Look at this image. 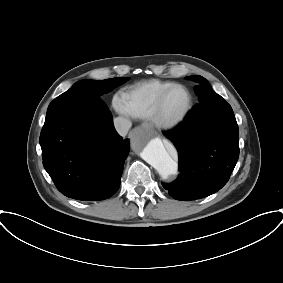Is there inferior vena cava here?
Returning <instances> with one entry per match:
<instances>
[{"label": "inferior vena cava", "mask_w": 283, "mask_h": 283, "mask_svg": "<svg viewBox=\"0 0 283 283\" xmlns=\"http://www.w3.org/2000/svg\"><path fill=\"white\" fill-rule=\"evenodd\" d=\"M131 121L125 117H117L114 119V127L119 135L125 137L131 128Z\"/></svg>", "instance_id": "602c4592"}]
</instances>
